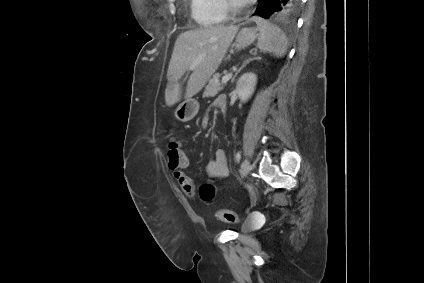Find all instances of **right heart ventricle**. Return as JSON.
<instances>
[{
    "instance_id": "right-heart-ventricle-1",
    "label": "right heart ventricle",
    "mask_w": 424,
    "mask_h": 283,
    "mask_svg": "<svg viewBox=\"0 0 424 283\" xmlns=\"http://www.w3.org/2000/svg\"><path fill=\"white\" fill-rule=\"evenodd\" d=\"M193 19L202 27H214L226 20L223 0H191Z\"/></svg>"
}]
</instances>
